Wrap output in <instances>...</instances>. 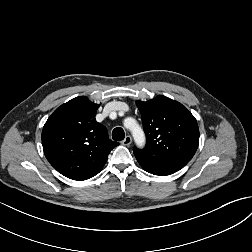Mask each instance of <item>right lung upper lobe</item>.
<instances>
[{
  "instance_id": "1",
  "label": "right lung upper lobe",
  "mask_w": 252,
  "mask_h": 252,
  "mask_svg": "<svg viewBox=\"0 0 252 252\" xmlns=\"http://www.w3.org/2000/svg\"><path fill=\"white\" fill-rule=\"evenodd\" d=\"M99 105L76 97L58 107L46 121L42 146L49 163L62 175L81 180L101 171L119 145L95 119Z\"/></svg>"
}]
</instances>
